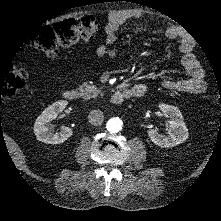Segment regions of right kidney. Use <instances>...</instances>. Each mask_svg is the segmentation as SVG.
<instances>
[{
    "label": "right kidney",
    "mask_w": 221,
    "mask_h": 221,
    "mask_svg": "<svg viewBox=\"0 0 221 221\" xmlns=\"http://www.w3.org/2000/svg\"><path fill=\"white\" fill-rule=\"evenodd\" d=\"M68 101L59 100L48 106L35 120L33 130L38 141L46 144H60L72 136L73 131L71 128L62 126L59 131H54L50 122L57 118L66 106Z\"/></svg>",
    "instance_id": "1"
}]
</instances>
